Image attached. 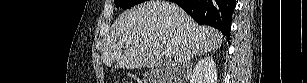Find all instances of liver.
Returning a JSON list of instances; mask_svg holds the SVG:
<instances>
[{
	"instance_id": "1",
	"label": "liver",
	"mask_w": 307,
	"mask_h": 83,
	"mask_svg": "<svg viewBox=\"0 0 307 83\" xmlns=\"http://www.w3.org/2000/svg\"><path fill=\"white\" fill-rule=\"evenodd\" d=\"M222 43L223 35L218 30L199 26L176 4L152 0L115 20L103 44V62L119 68L156 70L164 50H173L176 65H182L193 56L218 49Z\"/></svg>"
}]
</instances>
